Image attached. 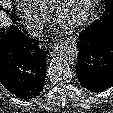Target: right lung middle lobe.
<instances>
[{
    "instance_id": "1",
    "label": "right lung middle lobe",
    "mask_w": 113,
    "mask_h": 113,
    "mask_svg": "<svg viewBox=\"0 0 113 113\" xmlns=\"http://www.w3.org/2000/svg\"><path fill=\"white\" fill-rule=\"evenodd\" d=\"M12 1H14V0H12ZM0 9H2V7H1ZM11 19L13 20V22H14V24H15L16 20H15V13H14V10L12 11Z\"/></svg>"
}]
</instances>
